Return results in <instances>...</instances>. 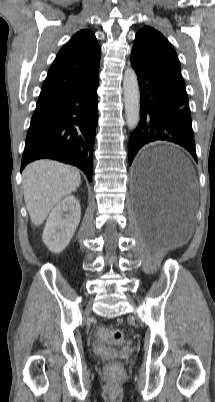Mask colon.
I'll return each mask as SVG.
<instances>
[{"mask_svg": "<svg viewBox=\"0 0 215 402\" xmlns=\"http://www.w3.org/2000/svg\"><path fill=\"white\" fill-rule=\"evenodd\" d=\"M97 335L100 339L112 345L120 343L123 339V333L119 329L99 327L97 329ZM107 372L110 376H116L120 373V367L117 364H111L108 367Z\"/></svg>", "mask_w": 215, "mask_h": 402, "instance_id": "colon-1", "label": "colon"}]
</instances>
